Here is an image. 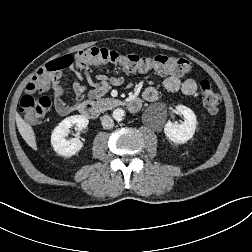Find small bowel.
<instances>
[{
  "label": "small bowel",
  "instance_id": "small-bowel-1",
  "mask_svg": "<svg viewBox=\"0 0 252 252\" xmlns=\"http://www.w3.org/2000/svg\"><path fill=\"white\" fill-rule=\"evenodd\" d=\"M73 70L76 76V79L72 81V88L75 94L74 100L64 101L61 98L62 90L59 86V77L52 86L56 95V109L60 114L63 115L74 111L77 108L78 102H80L83 98L88 97L89 99H99L113 86H119L123 83L122 77L96 74L95 78L97 81H94L93 76L88 69ZM162 74L166 75L167 73ZM83 82L91 84L93 88L88 90L87 86ZM163 86L170 92L180 91L187 96L194 95L197 90V83L194 79L186 78L182 80L176 75H167L163 80ZM143 98L149 102L156 101L158 99V91L153 87H149L144 90Z\"/></svg>",
  "mask_w": 252,
  "mask_h": 252
}]
</instances>
